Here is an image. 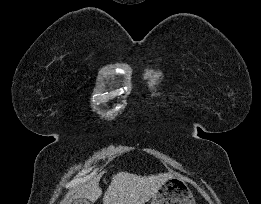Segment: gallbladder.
Here are the masks:
<instances>
[{
	"label": "gallbladder",
	"mask_w": 261,
	"mask_h": 204,
	"mask_svg": "<svg viewBox=\"0 0 261 204\" xmlns=\"http://www.w3.org/2000/svg\"><path fill=\"white\" fill-rule=\"evenodd\" d=\"M71 204H90L86 199H75Z\"/></svg>",
	"instance_id": "1"
}]
</instances>
